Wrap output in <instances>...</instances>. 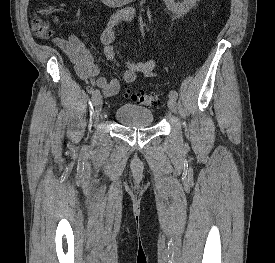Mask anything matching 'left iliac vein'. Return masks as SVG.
Masks as SVG:
<instances>
[{
    "label": "left iliac vein",
    "mask_w": 275,
    "mask_h": 263,
    "mask_svg": "<svg viewBox=\"0 0 275 263\" xmlns=\"http://www.w3.org/2000/svg\"><path fill=\"white\" fill-rule=\"evenodd\" d=\"M167 105H168L169 110H170L172 113H176V112H177V104H176L175 99L170 98V99L168 100Z\"/></svg>",
    "instance_id": "1"
}]
</instances>
